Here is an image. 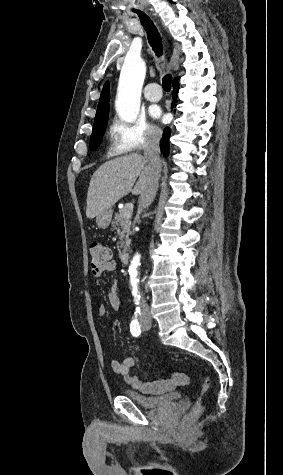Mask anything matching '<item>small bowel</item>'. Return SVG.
Masks as SVG:
<instances>
[{
    "label": "small bowel",
    "instance_id": "small-bowel-1",
    "mask_svg": "<svg viewBox=\"0 0 283 475\" xmlns=\"http://www.w3.org/2000/svg\"><path fill=\"white\" fill-rule=\"evenodd\" d=\"M115 268H116L115 261H109L101 265L92 264L90 268V273L93 277L98 278L106 272L114 271ZM108 298H109L110 305L113 309L115 310L120 309L121 297L119 294V283L117 281L114 283L109 293ZM98 315L100 317H105L107 315V308L105 305H100L98 307ZM134 365H135V359L131 357H126L121 361L113 360L111 362L112 370L116 374L121 375L127 384H129L133 388L145 389L146 388L145 384L136 375L130 372L131 368L134 367ZM188 377H189L188 372L183 371V372H177L176 374H173L168 379L161 380L160 378H157L156 382L160 383L164 390H169L170 388L176 387L178 385L186 384L187 382L185 383L183 380L188 379Z\"/></svg>",
    "mask_w": 283,
    "mask_h": 475
}]
</instances>
